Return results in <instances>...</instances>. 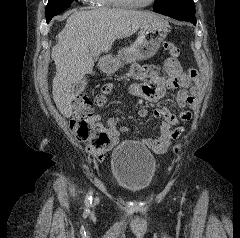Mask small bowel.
Segmentation results:
<instances>
[{"label": "small bowel", "instance_id": "c3829d8e", "mask_svg": "<svg viewBox=\"0 0 240 238\" xmlns=\"http://www.w3.org/2000/svg\"><path fill=\"white\" fill-rule=\"evenodd\" d=\"M132 73L135 76H148L149 81L143 84H134L130 87V92L139 97L146 98L151 101H159L163 99L167 90L181 88L176 96V104L180 110L179 115L170 112L166 107L154 110L155 117H162L164 120L159 128L157 138L144 139L142 143L151 151L156 153H164L167 151L172 139H177L182 133V123L191 118V112L185 110L186 106H193L197 101L200 88V79L198 73L194 69L182 70L181 65L176 59L169 58L159 66H146L141 68L134 65ZM166 74L167 77L163 76ZM114 85L106 83L102 86L101 92L94 98V104L98 107L105 105L107 97L112 93ZM140 117H146L148 110L141 108L138 111ZM101 120L100 115H92L90 121L97 123ZM106 129L111 137L109 146L119 143L120 134L127 131V128L120 126V119L112 117L107 120Z\"/></svg>", "mask_w": 240, "mask_h": 238}]
</instances>
